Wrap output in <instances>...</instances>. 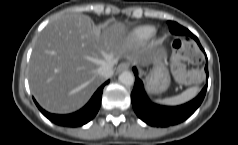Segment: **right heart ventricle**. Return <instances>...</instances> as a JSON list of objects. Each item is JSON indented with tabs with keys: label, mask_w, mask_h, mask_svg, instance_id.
<instances>
[{
	"label": "right heart ventricle",
	"mask_w": 238,
	"mask_h": 145,
	"mask_svg": "<svg viewBox=\"0 0 238 145\" xmlns=\"http://www.w3.org/2000/svg\"><path fill=\"white\" fill-rule=\"evenodd\" d=\"M155 33V29L151 26H142L134 30L132 40L142 42L150 39Z\"/></svg>",
	"instance_id": "e07e8e85"
}]
</instances>
